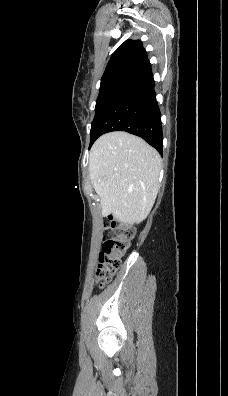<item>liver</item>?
<instances>
[{"label":"liver","mask_w":228,"mask_h":396,"mask_svg":"<svg viewBox=\"0 0 228 396\" xmlns=\"http://www.w3.org/2000/svg\"><path fill=\"white\" fill-rule=\"evenodd\" d=\"M161 157L143 139L127 132L101 136L89 156V177L102 215L133 225L150 213L159 189Z\"/></svg>","instance_id":"1"}]
</instances>
